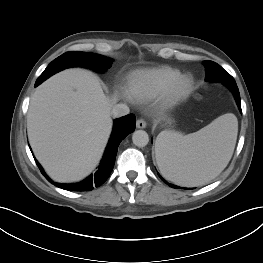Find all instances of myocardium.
<instances>
[{
	"label": "myocardium",
	"instance_id": "obj_1",
	"mask_svg": "<svg viewBox=\"0 0 263 263\" xmlns=\"http://www.w3.org/2000/svg\"><path fill=\"white\" fill-rule=\"evenodd\" d=\"M195 80L190 74H181L174 79L160 94L163 107L173 106L190 96L194 90Z\"/></svg>",
	"mask_w": 263,
	"mask_h": 263
}]
</instances>
